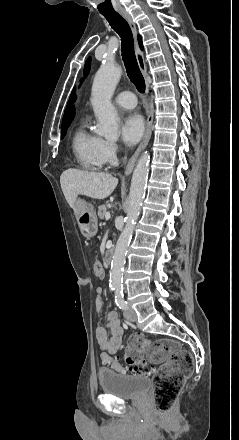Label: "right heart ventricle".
Segmentation results:
<instances>
[{
    "instance_id": "right-heart-ventricle-1",
    "label": "right heart ventricle",
    "mask_w": 239,
    "mask_h": 440,
    "mask_svg": "<svg viewBox=\"0 0 239 440\" xmlns=\"http://www.w3.org/2000/svg\"><path fill=\"white\" fill-rule=\"evenodd\" d=\"M101 139L85 128H78L71 138V150L76 163L83 169L97 171L105 162L100 153Z\"/></svg>"
}]
</instances>
